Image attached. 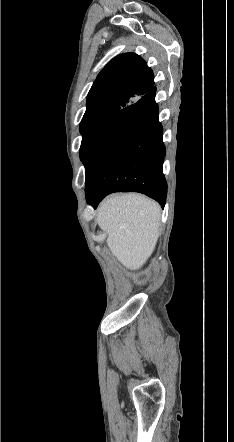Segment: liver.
Here are the masks:
<instances>
[{"label": "liver", "mask_w": 234, "mask_h": 442, "mask_svg": "<svg viewBox=\"0 0 234 442\" xmlns=\"http://www.w3.org/2000/svg\"><path fill=\"white\" fill-rule=\"evenodd\" d=\"M160 206L140 194L111 195L98 207L96 221L107 232L112 254L130 270L140 269L153 253L160 228Z\"/></svg>", "instance_id": "1"}]
</instances>
